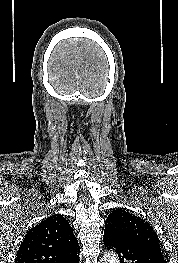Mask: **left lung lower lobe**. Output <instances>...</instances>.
Returning a JSON list of instances; mask_svg holds the SVG:
<instances>
[{
  "label": "left lung lower lobe",
  "instance_id": "obj_1",
  "mask_svg": "<svg viewBox=\"0 0 178 263\" xmlns=\"http://www.w3.org/2000/svg\"><path fill=\"white\" fill-rule=\"evenodd\" d=\"M104 244L115 249L120 263H166L160 245L105 223Z\"/></svg>",
  "mask_w": 178,
  "mask_h": 263
}]
</instances>
